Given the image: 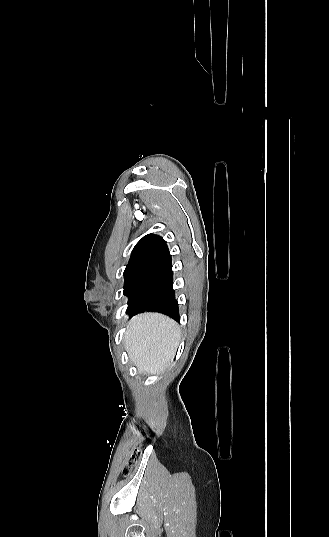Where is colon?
I'll list each match as a JSON object with an SVG mask.
<instances>
[{
	"mask_svg": "<svg viewBox=\"0 0 329 537\" xmlns=\"http://www.w3.org/2000/svg\"><path fill=\"white\" fill-rule=\"evenodd\" d=\"M141 456V449L139 447L135 448L129 457L128 463L122 471L124 476H128L131 468L138 462Z\"/></svg>",
	"mask_w": 329,
	"mask_h": 537,
	"instance_id": "5ec220e1",
	"label": "colon"
}]
</instances>
